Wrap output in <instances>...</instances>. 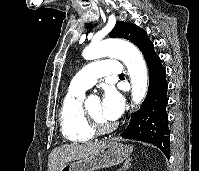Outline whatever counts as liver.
I'll use <instances>...</instances> for the list:
<instances>
[{
	"instance_id": "liver-1",
	"label": "liver",
	"mask_w": 199,
	"mask_h": 171,
	"mask_svg": "<svg viewBox=\"0 0 199 171\" xmlns=\"http://www.w3.org/2000/svg\"><path fill=\"white\" fill-rule=\"evenodd\" d=\"M106 144L107 141H100L85 144H66L56 147L48 157V171H60L64 164L94 154Z\"/></svg>"
}]
</instances>
